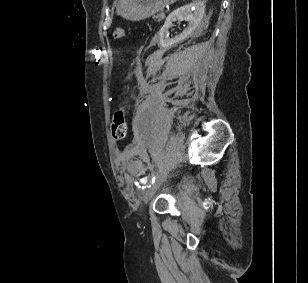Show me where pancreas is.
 <instances>
[{"label":"pancreas","mask_w":308,"mask_h":283,"mask_svg":"<svg viewBox=\"0 0 308 283\" xmlns=\"http://www.w3.org/2000/svg\"><path fill=\"white\" fill-rule=\"evenodd\" d=\"M164 17H165L164 13L160 12L159 14L154 16V19H156L159 22V21L163 20Z\"/></svg>","instance_id":"pancreas-1"}]
</instances>
